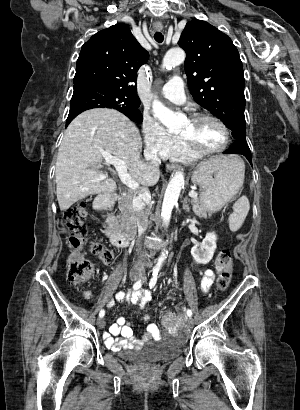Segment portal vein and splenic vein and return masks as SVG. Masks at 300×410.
I'll use <instances>...</instances> for the list:
<instances>
[{
  "label": "portal vein and splenic vein",
  "mask_w": 300,
  "mask_h": 410,
  "mask_svg": "<svg viewBox=\"0 0 300 410\" xmlns=\"http://www.w3.org/2000/svg\"><path fill=\"white\" fill-rule=\"evenodd\" d=\"M103 157L105 159L106 164L115 166L118 172L119 178L124 185H126L128 188L132 190L138 189L139 184L135 180H133L131 176L127 173V167L124 161L116 157H113L112 155L106 152H103ZM189 196L191 198H197L198 194L194 190H191L189 192Z\"/></svg>",
  "instance_id": "portal-vein-and-splenic-vein-1"
}]
</instances>
